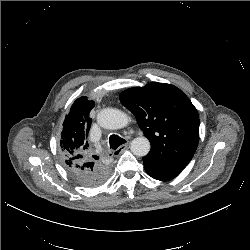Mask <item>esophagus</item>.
Listing matches in <instances>:
<instances>
[{
	"label": "esophagus",
	"mask_w": 250,
	"mask_h": 250,
	"mask_svg": "<svg viewBox=\"0 0 250 250\" xmlns=\"http://www.w3.org/2000/svg\"><path fill=\"white\" fill-rule=\"evenodd\" d=\"M128 147V144L121 145L114 153L120 154L122 151H124Z\"/></svg>",
	"instance_id": "34e87169"
}]
</instances>
